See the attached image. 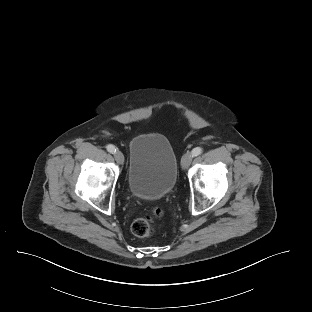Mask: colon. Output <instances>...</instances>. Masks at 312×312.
Instances as JSON below:
<instances>
[{"instance_id": "colon-1", "label": "colon", "mask_w": 312, "mask_h": 312, "mask_svg": "<svg viewBox=\"0 0 312 312\" xmlns=\"http://www.w3.org/2000/svg\"><path fill=\"white\" fill-rule=\"evenodd\" d=\"M163 216V211L159 207H154L150 214L136 219L131 226L132 233L140 238L150 237L155 233L152 225L153 221Z\"/></svg>"}]
</instances>
